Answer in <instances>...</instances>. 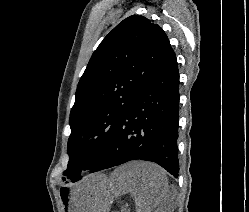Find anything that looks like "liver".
<instances>
[{
  "mask_svg": "<svg viewBox=\"0 0 249 212\" xmlns=\"http://www.w3.org/2000/svg\"><path fill=\"white\" fill-rule=\"evenodd\" d=\"M104 198L103 212L121 196L131 194L136 212H152L167 192L165 170L152 162H128L118 166L110 176H98Z\"/></svg>",
  "mask_w": 249,
  "mask_h": 212,
  "instance_id": "liver-1",
  "label": "liver"
}]
</instances>
